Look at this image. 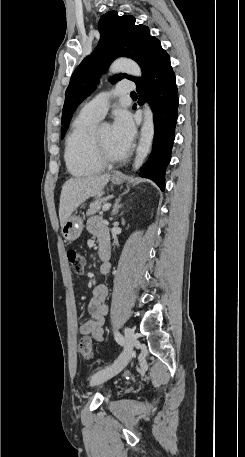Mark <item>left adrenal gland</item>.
I'll return each instance as SVG.
<instances>
[{
  "label": "left adrenal gland",
  "mask_w": 245,
  "mask_h": 457,
  "mask_svg": "<svg viewBox=\"0 0 245 457\" xmlns=\"http://www.w3.org/2000/svg\"><path fill=\"white\" fill-rule=\"evenodd\" d=\"M120 200H121V196H120V198H115L112 214H117L119 208H121L122 204H119Z\"/></svg>",
  "instance_id": "a2214340"
}]
</instances>
